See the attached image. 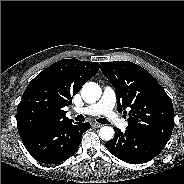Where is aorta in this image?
Returning a JSON list of instances; mask_svg holds the SVG:
<instances>
[{
    "label": "aorta",
    "mask_w": 184,
    "mask_h": 184,
    "mask_svg": "<svg viewBox=\"0 0 184 184\" xmlns=\"http://www.w3.org/2000/svg\"><path fill=\"white\" fill-rule=\"evenodd\" d=\"M101 94H102L101 88L99 87L98 84L94 82L86 83L81 91L83 100L86 103L90 104L98 101L99 98L101 97ZM99 136L103 140L106 141L111 140L114 136V130L109 126H104L100 129Z\"/></svg>",
    "instance_id": "obj_1"
}]
</instances>
